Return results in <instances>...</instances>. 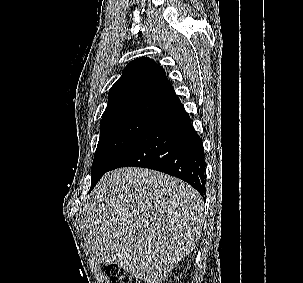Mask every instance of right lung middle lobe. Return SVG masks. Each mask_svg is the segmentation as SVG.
Segmentation results:
<instances>
[{"instance_id": "obj_1", "label": "right lung middle lobe", "mask_w": 303, "mask_h": 283, "mask_svg": "<svg viewBox=\"0 0 303 283\" xmlns=\"http://www.w3.org/2000/svg\"><path fill=\"white\" fill-rule=\"evenodd\" d=\"M155 118L131 114L101 120L100 138L92 164L91 189Z\"/></svg>"}]
</instances>
